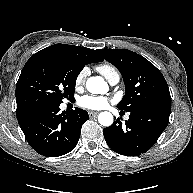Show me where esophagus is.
Wrapping results in <instances>:
<instances>
[{
    "instance_id": "obj_1",
    "label": "esophagus",
    "mask_w": 193,
    "mask_h": 193,
    "mask_svg": "<svg viewBox=\"0 0 193 193\" xmlns=\"http://www.w3.org/2000/svg\"><path fill=\"white\" fill-rule=\"evenodd\" d=\"M98 114H99V112L90 111L89 112V117L94 118V117H97Z\"/></svg>"
}]
</instances>
